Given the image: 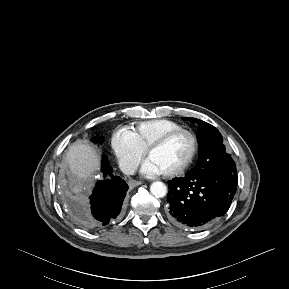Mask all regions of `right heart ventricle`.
Instances as JSON below:
<instances>
[{
	"label": "right heart ventricle",
	"mask_w": 289,
	"mask_h": 289,
	"mask_svg": "<svg viewBox=\"0 0 289 289\" xmlns=\"http://www.w3.org/2000/svg\"><path fill=\"white\" fill-rule=\"evenodd\" d=\"M177 129H183V126L169 119H153L138 123L132 132L139 146L147 151L156 140Z\"/></svg>",
	"instance_id": "e07e8e85"
}]
</instances>
